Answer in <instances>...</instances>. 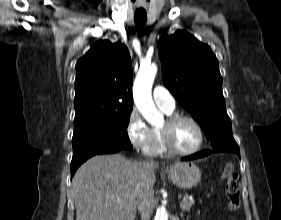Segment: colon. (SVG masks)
<instances>
[{"label": "colon", "mask_w": 281, "mask_h": 220, "mask_svg": "<svg viewBox=\"0 0 281 220\" xmlns=\"http://www.w3.org/2000/svg\"><path fill=\"white\" fill-rule=\"evenodd\" d=\"M222 177L226 180L225 194L228 200V209L231 212H236L241 205V186L234 164L228 163L225 165Z\"/></svg>", "instance_id": "5ec220e1"}]
</instances>
